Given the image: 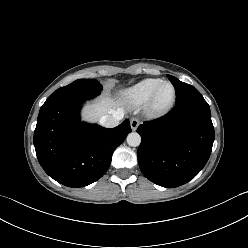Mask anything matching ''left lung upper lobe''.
Listing matches in <instances>:
<instances>
[{
    "mask_svg": "<svg viewBox=\"0 0 248 248\" xmlns=\"http://www.w3.org/2000/svg\"><path fill=\"white\" fill-rule=\"evenodd\" d=\"M176 90V105L203 98L199 91L187 83L181 82L176 77L167 75Z\"/></svg>",
    "mask_w": 248,
    "mask_h": 248,
    "instance_id": "5c2ea615",
    "label": "left lung upper lobe"
}]
</instances>
